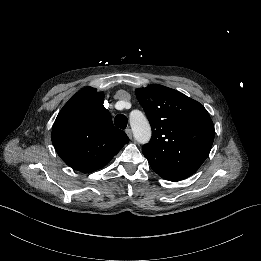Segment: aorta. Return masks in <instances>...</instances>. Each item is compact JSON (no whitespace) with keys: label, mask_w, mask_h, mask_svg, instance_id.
<instances>
[{"label":"aorta","mask_w":261,"mask_h":261,"mask_svg":"<svg viewBox=\"0 0 261 261\" xmlns=\"http://www.w3.org/2000/svg\"><path fill=\"white\" fill-rule=\"evenodd\" d=\"M129 123L136 143L148 144L152 137V128L145 114L140 109H132L129 113Z\"/></svg>","instance_id":"1"}]
</instances>
